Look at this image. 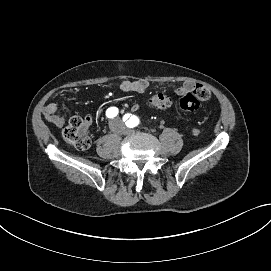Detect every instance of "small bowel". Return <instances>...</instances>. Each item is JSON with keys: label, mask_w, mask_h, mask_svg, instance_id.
Listing matches in <instances>:
<instances>
[{"label": "small bowel", "mask_w": 271, "mask_h": 271, "mask_svg": "<svg viewBox=\"0 0 271 271\" xmlns=\"http://www.w3.org/2000/svg\"><path fill=\"white\" fill-rule=\"evenodd\" d=\"M149 84L145 80L135 81H123L120 85V89L124 93H143ZM196 87V84L192 81H186L181 85H173V90L178 95H185L186 93L192 92ZM139 104L133 103L131 109L137 111ZM42 114L45 120L56 127H62L65 124V118L59 113L58 107L55 103H49L42 109ZM92 117L88 114L85 118L86 123H91Z\"/></svg>", "instance_id": "1"}]
</instances>
